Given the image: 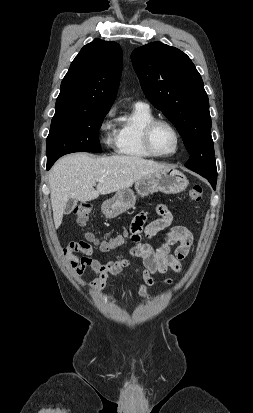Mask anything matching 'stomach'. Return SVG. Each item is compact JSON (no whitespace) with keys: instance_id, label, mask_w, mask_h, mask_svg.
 <instances>
[{"instance_id":"1","label":"stomach","mask_w":253,"mask_h":413,"mask_svg":"<svg viewBox=\"0 0 253 413\" xmlns=\"http://www.w3.org/2000/svg\"><path fill=\"white\" fill-rule=\"evenodd\" d=\"M189 184L186 176L171 167L147 175L135 183L136 193L142 197L155 192L178 194L184 191ZM136 202L135 192L130 189L118 191L113 198L106 200L101 207L103 214L114 218L132 208Z\"/></svg>"}]
</instances>
